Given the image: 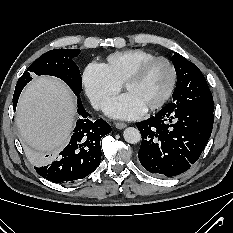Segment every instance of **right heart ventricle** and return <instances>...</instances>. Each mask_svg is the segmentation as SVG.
<instances>
[{"label":"right heart ventricle","instance_id":"e07e8e85","mask_svg":"<svg viewBox=\"0 0 233 233\" xmlns=\"http://www.w3.org/2000/svg\"><path fill=\"white\" fill-rule=\"evenodd\" d=\"M154 57L143 49H127L110 54L104 65L113 79L122 84L138 65Z\"/></svg>","mask_w":233,"mask_h":233}]
</instances>
